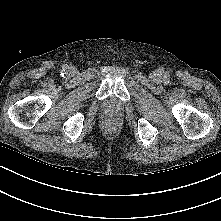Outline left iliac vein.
I'll use <instances>...</instances> for the list:
<instances>
[{"instance_id": "obj_1", "label": "left iliac vein", "mask_w": 221, "mask_h": 221, "mask_svg": "<svg viewBox=\"0 0 221 221\" xmlns=\"http://www.w3.org/2000/svg\"><path fill=\"white\" fill-rule=\"evenodd\" d=\"M161 77L160 73L158 71H153L152 74H151V78L153 80H159Z\"/></svg>"}]
</instances>
